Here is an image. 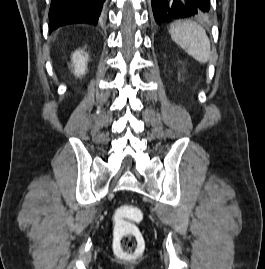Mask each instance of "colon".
<instances>
[{
    "mask_svg": "<svg viewBox=\"0 0 265 269\" xmlns=\"http://www.w3.org/2000/svg\"><path fill=\"white\" fill-rule=\"evenodd\" d=\"M119 220L115 227L114 242L118 252L126 257L136 256L141 248V233L135 222L142 219L135 206H122L117 211Z\"/></svg>",
    "mask_w": 265,
    "mask_h": 269,
    "instance_id": "obj_1",
    "label": "colon"
}]
</instances>
